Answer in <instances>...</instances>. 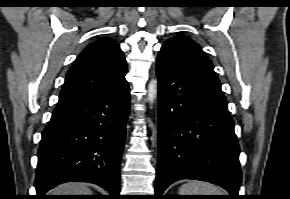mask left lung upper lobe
Instances as JSON below:
<instances>
[{
  "label": "left lung upper lobe",
  "mask_w": 290,
  "mask_h": 199,
  "mask_svg": "<svg viewBox=\"0 0 290 199\" xmlns=\"http://www.w3.org/2000/svg\"><path fill=\"white\" fill-rule=\"evenodd\" d=\"M161 51L184 67L219 82L212 62L191 38L181 35L171 37L164 43Z\"/></svg>",
  "instance_id": "left-lung-upper-lobe-1"
}]
</instances>
